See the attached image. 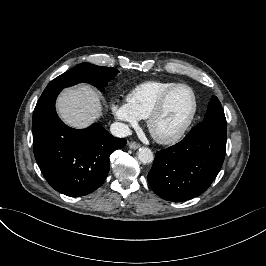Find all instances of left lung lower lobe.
Returning <instances> with one entry per match:
<instances>
[{
  "label": "left lung lower lobe",
  "mask_w": 266,
  "mask_h": 266,
  "mask_svg": "<svg viewBox=\"0 0 266 266\" xmlns=\"http://www.w3.org/2000/svg\"><path fill=\"white\" fill-rule=\"evenodd\" d=\"M225 151L226 133L209 129L190 131L181 142L156 153L148 183L167 201L197 197L217 176Z\"/></svg>",
  "instance_id": "0a47b994"
}]
</instances>
